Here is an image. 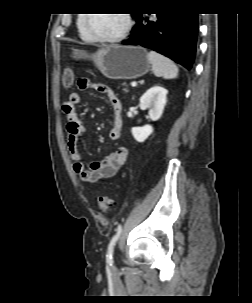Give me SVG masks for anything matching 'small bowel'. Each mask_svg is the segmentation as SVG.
Listing matches in <instances>:
<instances>
[{
    "label": "small bowel",
    "instance_id": "c3829d8e",
    "mask_svg": "<svg viewBox=\"0 0 252 303\" xmlns=\"http://www.w3.org/2000/svg\"><path fill=\"white\" fill-rule=\"evenodd\" d=\"M80 90L95 89L104 93L113 111V121L109 130V137L112 140H118L121 136L123 127L122 104L113 89L103 83H95L89 79H80L78 81ZM82 102L80 94L73 92L69 95L68 100L63 104L62 110L66 116V139L70 157L74 161L73 169L79 177L86 182L96 183L100 180L115 176L120 168L125 165L128 149L124 146L118 147L101 161L90 163L86 169L80 158V140L87 132L86 124L81 120L76 110V106Z\"/></svg>",
    "mask_w": 252,
    "mask_h": 303
}]
</instances>
